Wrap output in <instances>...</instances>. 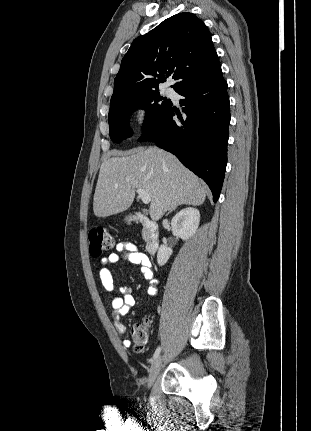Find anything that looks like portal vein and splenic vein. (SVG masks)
Segmentation results:
<instances>
[{"instance_id": "18ae733b", "label": "portal vein and splenic vein", "mask_w": 311, "mask_h": 431, "mask_svg": "<svg viewBox=\"0 0 311 431\" xmlns=\"http://www.w3.org/2000/svg\"><path fill=\"white\" fill-rule=\"evenodd\" d=\"M136 192H137L139 198H141L143 204H150L151 198H150L149 194H147V192H145V190H142V188H137Z\"/></svg>"}]
</instances>
